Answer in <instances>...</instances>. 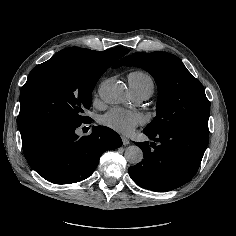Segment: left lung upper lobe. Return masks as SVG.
Listing matches in <instances>:
<instances>
[{
	"instance_id": "1",
	"label": "left lung upper lobe",
	"mask_w": 236,
	"mask_h": 236,
	"mask_svg": "<svg viewBox=\"0 0 236 236\" xmlns=\"http://www.w3.org/2000/svg\"><path fill=\"white\" fill-rule=\"evenodd\" d=\"M130 65L148 71L158 86L157 116L145 131L178 129L208 134L210 103L204 87L178 57L166 52L133 53L115 63L113 68Z\"/></svg>"
}]
</instances>
